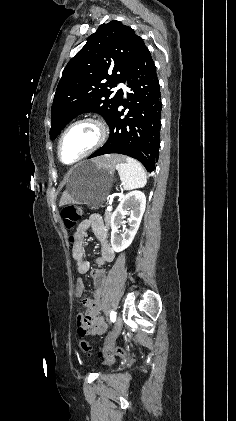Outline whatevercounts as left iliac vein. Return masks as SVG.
<instances>
[{"mask_svg": "<svg viewBox=\"0 0 236 421\" xmlns=\"http://www.w3.org/2000/svg\"><path fill=\"white\" fill-rule=\"evenodd\" d=\"M122 326H123V320H122L121 316H118L116 318V321H115V324H114L112 335L105 342V348L106 349H109L114 345L116 338L118 337V335L120 334V332L122 330Z\"/></svg>", "mask_w": 236, "mask_h": 421, "instance_id": "left-iliac-vein-1", "label": "left iliac vein"}]
</instances>
